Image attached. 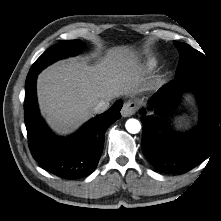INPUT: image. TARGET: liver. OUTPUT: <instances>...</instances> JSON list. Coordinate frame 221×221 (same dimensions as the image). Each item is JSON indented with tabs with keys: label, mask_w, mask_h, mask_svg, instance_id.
I'll use <instances>...</instances> for the list:
<instances>
[{
	"label": "liver",
	"mask_w": 221,
	"mask_h": 221,
	"mask_svg": "<svg viewBox=\"0 0 221 221\" xmlns=\"http://www.w3.org/2000/svg\"><path fill=\"white\" fill-rule=\"evenodd\" d=\"M143 81L135 52L115 47L95 65L70 58L43 70L37 79L38 102L50 127L67 134L93 116L99 101L136 95Z\"/></svg>",
	"instance_id": "1"
}]
</instances>
